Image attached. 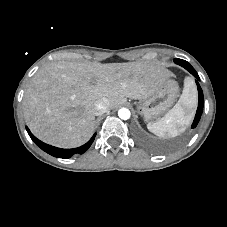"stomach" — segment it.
Listing matches in <instances>:
<instances>
[{"label": "stomach", "mask_w": 227, "mask_h": 227, "mask_svg": "<svg viewBox=\"0 0 227 227\" xmlns=\"http://www.w3.org/2000/svg\"><path fill=\"white\" fill-rule=\"evenodd\" d=\"M178 94V83L175 80L167 79L150 97L138 103L137 111L145 121H153L174 104Z\"/></svg>", "instance_id": "obj_1"}]
</instances>
